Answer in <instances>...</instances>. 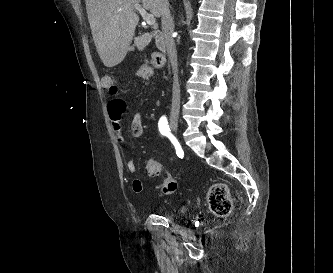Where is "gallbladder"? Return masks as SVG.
<instances>
[{
  "label": "gallbladder",
  "instance_id": "bac80fb5",
  "mask_svg": "<svg viewBox=\"0 0 333 273\" xmlns=\"http://www.w3.org/2000/svg\"><path fill=\"white\" fill-rule=\"evenodd\" d=\"M148 43L149 40L145 35H141L135 39V44L139 49H143Z\"/></svg>",
  "mask_w": 333,
  "mask_h": 273
}]
</instances>
